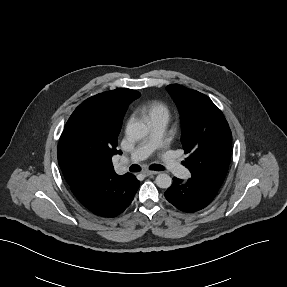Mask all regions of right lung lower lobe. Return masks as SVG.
<instances>
[{
	"instance_id": "obj_1",
	"label": "right lung lower lobe",
	"mask_w": 287,
	"mask_h": 287,
	"mask_svg": "<svg viewBox=\"0 0 287 287\" xmlns=\"http://www.w3.org/2000/svg\"><path fill=\"white\" fill-rule=\"evenodd\" d=\"M140 182L132 174L112 176L86 182L71 191L90 212L100 217H116L132 202Z\"/></svg>"
}]
</instances>
